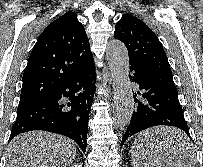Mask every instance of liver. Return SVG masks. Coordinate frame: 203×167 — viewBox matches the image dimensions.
Returning <instances> with one entry per match:
<instances>
[{
  "mask_svg": "<svg viewBox=\"0 0 203 167\" xmlns=\"http://www.w3.org/2000/svg\"><path fill=\"white\" fill-rule=\"evenodd\" d=\"M184 136L175 128L155 127L142 132L139 139L165 167H179V163L182 167H189L185 164L187 150L181 151L177 147ZM75 156L76 147L71 139L49 132L31 131L11 140L6 167H70Z\"/></svg>",
  "mask_w": 203,
  "mask_h": 167,
  "instance_id": "liver-1",
  "label": "liver"
}]
</instances>
